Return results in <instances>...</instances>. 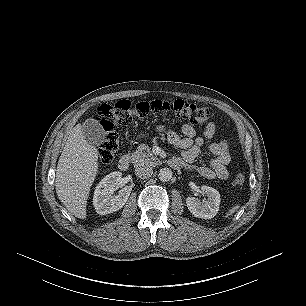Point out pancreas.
<instances>
[{"label": "pancreas", "instance_id": "pancreas-1", "mask_svg": "<svg viewBox=\"0 0 306 306\" xmlns=\"http://www.w3.org/2000/svg\"><path fill=\"white\" fill-rule=\"evenodd\" d=\"M131 161L135 166L139 165H155L157 158L151 152L146 144H140L136 151L131 154Z\"/></svg>", "mask_w": 306, "mask_h": 306}]
</instances>
